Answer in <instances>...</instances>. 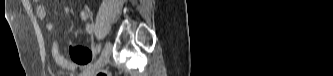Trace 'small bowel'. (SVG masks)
<instances>
[{
	"label": "small bowel",
	"instance_id": "c3829d8e",
	"mask_svg": "<svg viewBox=\"0 0 333 76\" xmlns=\"http://www.w3.org/2000/svg\"><path fill=\"white\" fill-rule=\"evenodd\" d=\"M37 16L41 19L46 18L47 8L43 4H38L36 7ZM89 12L83 10L81 12V19L85 22L86 33L91 35L93 33V26L89 23ZM48 30H54L55 25L47 24ZM52 56L57 65L65 70H74L77 64H85L89 61L90 57L93 56V51L89 50L88 44H78L70 46V58H67L61 54L59 44L54 41L51 46Z\"/></svg>",
	"mask_w": 333,
	"mask_h": 76
}]
</instances>
